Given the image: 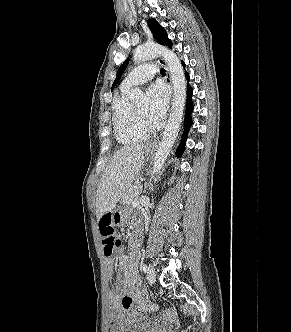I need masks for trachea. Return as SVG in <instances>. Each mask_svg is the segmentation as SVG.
Returning a JSON list of instances; mask_svg holds the SVG:
<instances>
[{
    "label": "trachea",
    "instance_id": "1",
    "mask_svg": "<svg viewBox=\"0 0 291 332\" xmlns=\"http://www.w3.org/2000/svg\"><path fill=\"white\" fill-rule=\"evenodd\" d=\"M160 73H161V74H165V70H164V69H161V70H160Z\"/></svg>",
    "mask_w": 291,
    "mask_h": 332
}]
</instances>
